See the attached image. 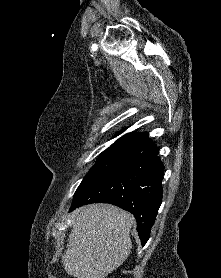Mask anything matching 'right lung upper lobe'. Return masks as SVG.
<instances>
[{"instance_id":"cb5924a9","label":"right lung upper lobe","mask_w":221,"mask_h":278,"mask_svg":"<svg viewBox=\"0 0 221 278\" xmlns=\"http://www.w3.org/2000/svg\"><path fill=\"white\" fill-rule=\"evenodd\" d=\"M120 133L121 132H119L118 134ZM147 137H148L147 133L132 132L119 138L115 143L130 146L135 149H139V148L144 149L146 147L154 145L152 142L148 140Z\"/></svg>"}]
</instances>
